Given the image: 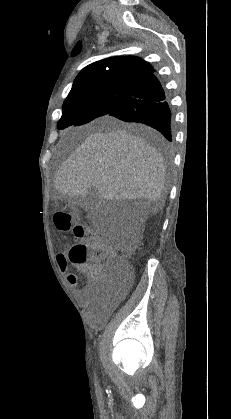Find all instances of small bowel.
Segmentation results:
<instances>
[{"label":"small bowel","instance_id":"1","mask_svg":"<svg viewBox=\"0 0 231 419\" xmlns=\"http://www.w3.org/2000/svg\"><path fill=\"white\" fill-rule=\"evenodd\" d=\"M58 264H59V266L62 270L66 271L68 269V263H67L66 259L60 258L58 260ZM82 270L84 272H88V267L85 266V267L82 268ZM66 282L69 286L74 287L78 284L79 278L74 273H67L66 274ZM90 291H91V288H84L80 291V294L82 296V301L85 304L89 303Z\"/></svg>","mask_w":231,"mask_h":419}]
</instances>
